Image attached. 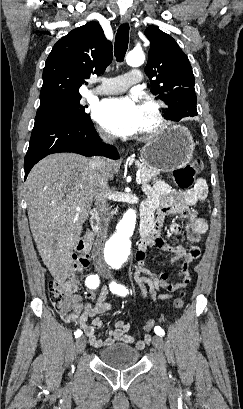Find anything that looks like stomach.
<instances>
[{"mask_svg":"<svg viewBox=\"0 0 243 409\" xmlns=\"http://www.w3.org/2000/svg\"><path fill=\"white\" fill-rule=\"evenodd\" d=\"M194 148L190 131L184 126L173 125L144 145L141 158L147 167L169 172L188 164Z\"/></svg>","mask_w":243,"mask_h":409,"instance_id":"obj_1","label":"stomach"}]
</instances>
